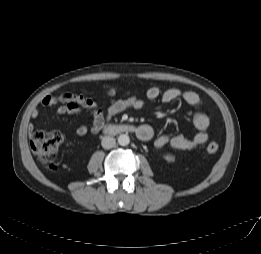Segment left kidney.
<instances>
[{"instance_id":"left-kidney-1","label":"left kidney","mask_w":261,"mask_h":254,"mask_svg":"<svg viewBox=\"0 0 261 254\" xmlns=\"http://www.w3.org/2000/svg\"><path fill=\"white\" fill-rule=\"evenodd\" d=\"M165 159H166L168 162H173V161L175 160L174 157L171 156V155H166V156H165Z\"/></svg>"}]
</instances>
